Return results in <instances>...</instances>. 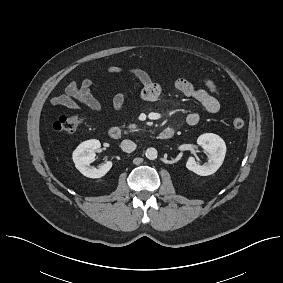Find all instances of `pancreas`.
Returning <instances> with one entry per match:
<instances>
[{"label":"pancreas","mask_w":283,"mask_h":283,"mask_svg":"<svg viewBox=\"0 0 283 283\" xmlns=\"http://www.w3.org/2000/svg\"><path fill=\"white\" fill-rule=\"evenodd\" d=\"M128 127L132 130H136L137 125L136 124H130Z\"/></svg>","instance_id":"1"}]
</instances>
